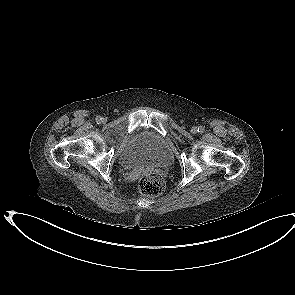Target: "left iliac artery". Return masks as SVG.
<instances>
[{
  "mask_svg": "<svg viewBox=\"0 0 295 295\" xmlns=\"http://www.w3.org/2000/svg\"><path fill=\"white\" fill-rule=\"evenodd\" d=\"M197 131L199 133H203L204 132V127L203 126H199L198 129H197Z\"/></svg>",
  "mask_w": 295,
  "mask_h": 295,
  "instance_id": "44dca946",
  "label": "left iliac artery"
}]
</instances>
